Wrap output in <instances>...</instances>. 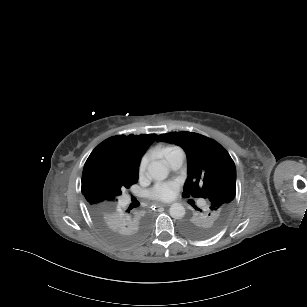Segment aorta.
<instances>
[{"mask_svg": "<svg viewBox=\"0 0 307 307\" xmlns=\"http://www.w3.org/2000/svg\"><path fill=\"white\" fill-rule=\"evenodd\" d=\"M147 170L149 176L157 181H162L169 175L168 162L166 160L150 162ZM169 213L172 218L181 219L185 215V208L181 203H173L170 206Z\"/></svg>", "mask_w": 307, "mask_h": 307, "instance_id": "obj_1", "label": "aorta"}]
</instances>
